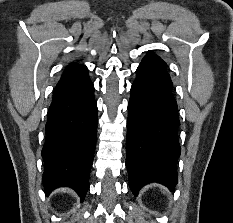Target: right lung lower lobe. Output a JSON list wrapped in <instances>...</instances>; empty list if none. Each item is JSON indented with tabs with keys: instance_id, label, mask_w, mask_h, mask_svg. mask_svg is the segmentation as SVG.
I'll use <instances>...</instances> for the list:
<instances>
[{
	"instance_id": "right-lung-lower-lobe-1",
	"label": "right lung lower lobe",
	"mask_w": 233,
	"mask_h": 223,
	"mask_svg": "<svg viewBox=\"0 0 233 223\" xmlns=\"http://www.w3.org/2000/svg\"><path fill=\"white\" fill-rule=\"evenodd\" d=\"M97 133V104L86 66L69 64L53 92L48 110L43 184L46 195L55 188H73L84 200L89 189Z\"/></svg>"
}]
</instances>
